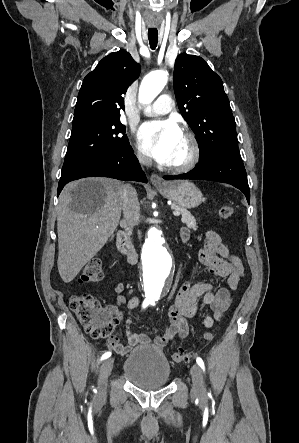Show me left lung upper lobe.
<instances>
[{
    "label": "left lung upper lobe",
    "mask_w": 299,
    "mask_h": 443,
    "mask_svg": "<svg viewBox=\"0 0 299 443\" xmlns=\"http://www.w3.org/2000/svg\"><path fill=\"white\" fill-rule=\"evenodd\" d=\"M173 82L182 116L199 140V160L215 155L241 158L222 80L206 61L195 55H178Z\"/></svg>",
    "instance_id": "5c2ea615"
}]
</instances>
